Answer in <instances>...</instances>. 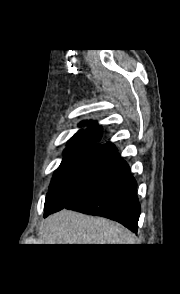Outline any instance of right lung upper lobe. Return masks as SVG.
I'll use <instances>...</instances> for the list:
<instances>
[{"instance_id": "obj_1", "label": "right lung upper lobe", "mask_w": 180, "mask_h": 294, "mask_svg": "<svg viewBox=\"0 0 180 294\" xmlns=\"http://www.w3.org/2000/svg\"><path fill=\"white\" fill-rule=\"evenodd\" d=\"M86 122H82L85 124ZM91 127L86 130H79L68 142V144L90 143L97 144L102 136V129L97 122H90Z\"/></svg>"}]
</instances>
